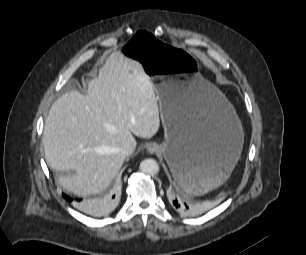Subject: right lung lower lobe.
I'll use <instances>...</instances> for the list:
<instances>
[{
    "label": "right lung lower lobe",
    "instance_id": "98d812e1",
    "mask_svg": "<svg viewBox=\"0 0 306 255\" xmlns=\"http://www.w3.org/2000/svg\"><path fill=\"white\" fill-rule=\"evenodd\" d=\"M63 196L67 201L72 202V199L68 195L63 194ZM113 199L114 195L113 196L108 195L106 197L94 200L76 199L75 203L85 213L98 215L106 211L111 206Z\"/></svg>",
    "mask_w": 306,
    "mask_h": 255
}]
</instances>
